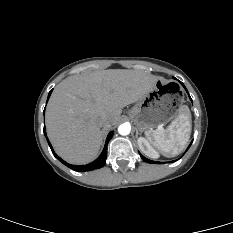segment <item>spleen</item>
<instances>
[{
  "mask_svg": "<svg viewBox=\"0 0 233 233\" xmlns=\"http://www.w3.org/2000/svg\"><path fill=\"white\" fill-rule=\"evenodd\" d=\"M190 135L191 114L186 105L180 107L177 117L166 129L158 128L146 132L149 142L166 157H173L182 152Z\"/></svg>",
  "mask_w": 233,
  "mask_h": 233,
  "instance_id": "obj_1",
  "label": "spleen"
}]
</instances>
